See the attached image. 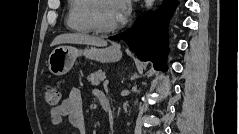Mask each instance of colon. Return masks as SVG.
I'll return each mask as SVG.
<instances>
[{
    "label": "colon",
    "instance_id": "obj_1",
    "mask_svg": "<svg viewBox=\"0 0 239 134\" xmlns=\"http://www.w3.org/2000/svg\"><path fill=\"white\" fill-rule=\"evenodd\" d=\"M43 96L47 104L56 106L60 99L59 91L56 87L45 86L43 90Z\"/></svg>",
    "mask_w": 239,
    "mask_h": 134
}]
</instances>
